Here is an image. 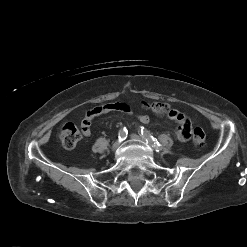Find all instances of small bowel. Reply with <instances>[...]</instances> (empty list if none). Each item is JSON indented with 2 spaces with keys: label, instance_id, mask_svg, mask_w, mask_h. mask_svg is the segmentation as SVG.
I'll return each instance as SVG.
<instances>
[{
  "label": "small bowel",
  "instance_id": "1",
  "mask_svg": "<svg viewBox=\"0 0 247 247\" xmlns=\"http://www.w3.org/2000/svg\"><path fill=\"white\" fill-rule=\"evenodd\" d=\"M111 111H122L126 113H131V108L127 103L124 102H116V103H109L101 106H97L91 110H89L82 119L81 127L82 132L85 136H90L91 134V124L93 120L101 115L107 114ZM169 117L173 119L178 128L176 130V136L179 140L185 141L190 136V123L188 118L180 111L172 110L169 114ZM138 120L141 123H148L149 117L144 114L138 115Z\"/></svg>",
  "mask_w": 247,
  "mask_h": 247
}]
</instances>
